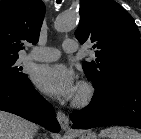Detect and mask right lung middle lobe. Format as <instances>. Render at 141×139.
I'll return each mask as SVG.
<instances>
[{
  "label": "right lung middle lobe",
  "mask_w": 141,
  "mask_h": 139,
  "mask_svg": "<svg viewBox=\"0 0 141 139\" xmlns=\"http://www.w3.org/2000/svg\"><path fill=\"white\" fill-rule=\"evenodd\" d=\"M18 56H0V84H17L28 79L17 63Z\"/></svg>",
  "instance_id": "1"
}]
</instances>
